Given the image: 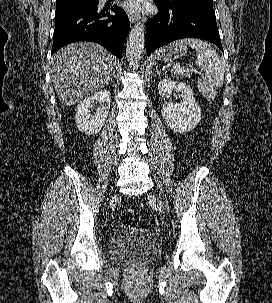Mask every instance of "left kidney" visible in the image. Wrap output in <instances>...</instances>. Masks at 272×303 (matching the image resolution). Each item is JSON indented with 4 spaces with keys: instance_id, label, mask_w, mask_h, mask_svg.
<instances>
[{
    "instance_id": "1",
    "label": "left kidney",
    "mask_w": 272,
    "mask_h": 303,
    "mask_svg": "<svg viewBox=\"0 0 272 303\" xmlns=\"http://www.w3.org/2000/svg\"><path fill=\"white\" fill-rule=\"evenodd\" d=\"M158 90L164 99L170 98L172 90L181 92L183 98L182 103L173 104L170 101H166L163 104L161 113L167 126L178 133L193 130L201 121V111L191 87L186 83L165 78L159 81Z\"/></svg>"
}]
</instances>
